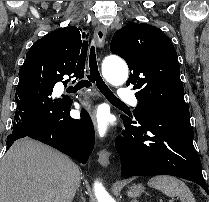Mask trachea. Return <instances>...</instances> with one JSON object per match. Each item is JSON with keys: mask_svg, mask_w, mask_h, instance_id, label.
<instances>
[{"mask_svg": "<svg viewBox=\"0 0 209 202\" xmlns=\"http://www.w3.org/2000/svg\"><path fill=\"white\" fill-rule=\"evenodd\" d=\"M89 68H90V74L87 76V79L80 80L77 83V86L80 88L83 87H90L92 84H96L100 92L106 97V99L110 103H116V104H124L122 101H120L108 88V86L103 81L97 65L96 60V53L94 46H91L90 54H89Z\"/></svg>", "mask_w": 209, "mask_h": 202, "instance_id": "3493384b", "label": "trachea"}]
</instances>
